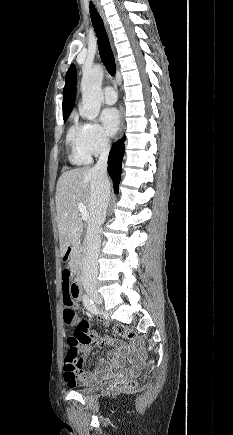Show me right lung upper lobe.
Listing matches in <instances>:
<instances>
[{"label":"right lung upper lobe","mask_w":233,"mask_h":435,"mask_svg":"<svg viewBox=\"0 0 233 435\" xmlns=\"http://www.w3.org/2000/svg\"><path fill=\"white\" fill-rule=\"evenodd\" d=\"M76 70L74 64L70 66L65 77V87L63 89V116H69L76 98Z\"/></svg>","instance_id":"1"}]
</instances>
